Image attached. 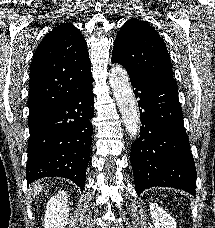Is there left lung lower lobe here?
Returning a JSON list of instances; mask_svg holds the SVG:
<instances>
[{"instance_id":"left-lung-lower-lobe-1","label":"left lung lower lobe","mask_w":215,"mask_h":228,"mask_svg":"<svg viewBox=\"0 0 215 228\" xmlns=\"http://www.w3.org/2000/svg\"><path fill=\"white\" fill-rule=\"evenodd\" d=\"M130 81L142 108L140 137L130 154L137 194L158 186L195 195L196 169L175 79L130 76Z\"/></svg>"}]
</instances>
